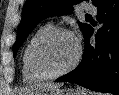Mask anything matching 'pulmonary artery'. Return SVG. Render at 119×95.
<instances>
[{
  "label": "pulmonary artery",
  "mask_w": 119,
  "mask_h": 95,
  "mask_svg": "<svg viewBox=\"0 0 119 95\" xmlns=\"http://www.w3.org/2000/svg\"><path fill=\"white\" fill-rule=\"evenodd\" d=\"M85 9L87 10V11H89V12H92V13H95V8L94 7H92V6H90V5H86L85 6Z\"/></svg>",
  "instance_id": "obj_1"
}]
</instances>
